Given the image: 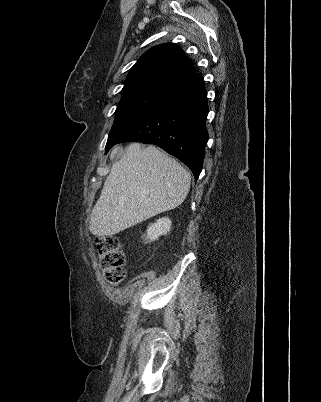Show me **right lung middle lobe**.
<instances>
[{
    "instance_id": "obj_1",
    "label": "right lung middle lobe",
    "mask_w": 321,
    "mask_h": 402,
    "mask_svg": "<svg viewBox=\"0 0 321 402\" xmlns=\"http://www.w3.org/2000/svg\"><path fill=\"white\" fill-rule=\"evenodd\" d=\"M172 88L165 84L150 83L122 90V98L114 113L115 120L107 142L160 103Z\"/></svg>"
}]
</instances>
